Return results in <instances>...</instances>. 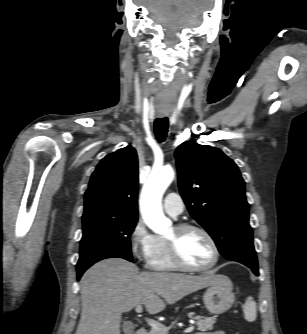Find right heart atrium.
<instances>
[{
  "instance_id": "obj_1",
  "label": "right heart atrium",
  "mask_w": 307,
  "mask_h": 334,
  "mask_svg": "<svg viewBox=\"0 0 307 334\" xmlns=\"http://www.w3.org/2000/svg\"><path fill=\"white\" fill-rule=\"evenodd\" d=\"M130 251L138 262H147L154 250L156 236H154L145 222L139 218L135 221L129 233Z\"/></svg>"
}]
</instances>
